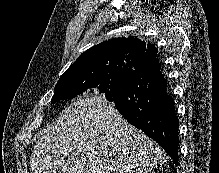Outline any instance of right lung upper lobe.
Here are the masks:
<instances>
[{
	"instance_id": "obj_1",
	"label": "right lung upper lobe",
	"mask_w": 219,
	"mask_h": 173,
	"mask_svg": "<svg viewBox=\"0 0 219 173\" xmlns=\"http://www.w3.org/2000/svg\"><path fill=\"white\" fill-rule=\"evenodd\" d=\"M157 48L138 38H115L104 41L81 54L65 72L97 67L111 62L126 63L134 69L148 61H157ZM64 73V74H65Z\"/></svg>"
}]
</instances>
